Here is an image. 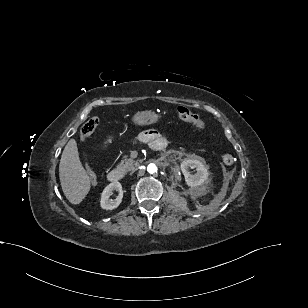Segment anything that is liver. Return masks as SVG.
<instances>
[{
	"mask_svg": "<svg viewBox=\"0 0 308 308\" xmlns=\"http://www.w3.org/2000/svg\"><path fill=\"white\" fill-rule=\"evenodd\" d=\"M59 177L63 193L70 203L79 204L88 194L90 178L80 161L75 139H70L63 150Z\"/></svg>",
	"mask_w": 308,
	"mask_h": 308,
	"instance_id": "liver-1",
	"label": "liver"
}]
</instances>
